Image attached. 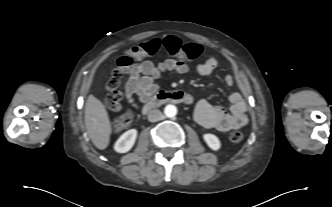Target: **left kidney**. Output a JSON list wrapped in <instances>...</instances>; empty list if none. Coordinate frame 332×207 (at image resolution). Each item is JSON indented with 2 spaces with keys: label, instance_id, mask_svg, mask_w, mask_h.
I'll list each match as a JSON object with an SVG mask.
<instances>
[{
  "label": "left kidney",
  "instance_id": "obj_1",
  "mask_svg": "<svg viewBox=\"0 0 332 207\" xmlns=\"http://www.w3.org/2000/svg\"><path fill=\"white\" fill-rule=\"evenodd\" d=\"M203 139L212 150L218 151L220 149L221 143L217 136L207 133L203 135Z\"/></svg>",
  "mask_w": 332,
  "mask_h": 207
}]
</instances>
